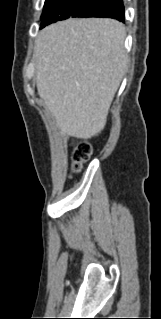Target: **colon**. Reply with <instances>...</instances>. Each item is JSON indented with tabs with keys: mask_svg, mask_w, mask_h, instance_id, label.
I'll return each instance as SVG.
<instances>
[{
	"mask_svg": "<svg viewBox=\"0 0 161 319\" xmlns=\"http://www.w3.org/2000/svg\"><path fill=\"white\" fill-rule=\"evenodd\" d=\"M92 154V147L88 143H80L74 150L72 172L77 173L80 171L82 164L89 159Z\"/></svg>",
	"mask_w": 161,
	"mask_h": 319,
	"instance_id": "colon-1",
	"label": "colon"
}]
</instances>
